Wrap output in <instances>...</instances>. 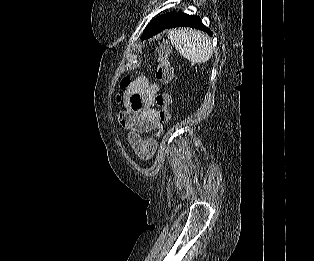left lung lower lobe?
<instances>
[{
    "instance_id": "obj_1",
    "label": "left lung lower lobe",
    "mask_w": 314,
    "mask_h": 261,
    "mask_svg": "<svg viewBox=\"0 0 314 261\" xmlns=\"http://www.w3.org/2000/svg\"><path fill=\"white\" fill-rule=\"evenodd\" d=\"M174 27H192V28L205 31L210 36H212L211 30L202 24L200 17L191 16V15L182 13L181 11L176 13L171 18V20L167 24H165L156 34L163 31L164 29H169V28H174Z\"/></svg>"
}]
</instances>
